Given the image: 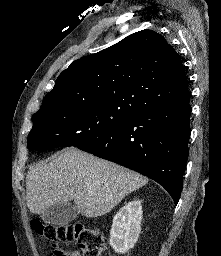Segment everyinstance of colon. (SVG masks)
<instances>
[{
    "label": "colon",
    "mask_w": 221,
    "mask_h": 256,
    "mask_svg": "<svg viewBox=\"0 0 221 256\" xmlns=\"http://www.w3.org/2000/svg\"><path fill=\"white\" fill-rule=\"evenodd\" d=\"M32 227L36 233L53 242L76 241L83 256H105L106 240L104 235L98 229L87 224L53 225L34 220Z\"/></svg>",
    "instance_id": "5ec220e1"
}]
</instances>
